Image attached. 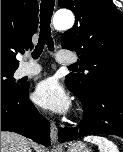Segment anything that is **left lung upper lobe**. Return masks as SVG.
Returning <instances> with one entry per match:
<instances>
[{"label":"left lung upper lobe","mask_w":123,"mask_h":152,"mask_svg":"<svg viewBox=\"0 0 123 152\" xmlns=\"http://www.w3.org/2000/svg\"><path fill=\"white\" fill-rule=\"evenodd\" d=\"M59 6L76 16L62 45L80 59L81 73L67 75L66 86L87 98L98 87L123 85V13L111 0H59Z\"/></svg>","instance_id":"5c2ea615"}]
</instances>
